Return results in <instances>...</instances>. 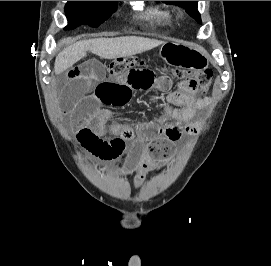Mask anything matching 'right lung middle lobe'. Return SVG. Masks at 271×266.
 Instances as JSON below:
<instances>
[{"label":"right lung middle lobe","mask_w":271,"mask_h":266,"mask_svg":"<svg viewBox=\"0 0 271 266\" xmlns=\"http://www.w3.org/2000/svg\"><path fill=\"white\" fill-rule=\"evenodd\" d=\"M116 1H68L65 13L68 25L65 30L74 29L82 24L99 26L115 10Z\"/></svg>","instance_id":"obj_1"}]
</instances>
